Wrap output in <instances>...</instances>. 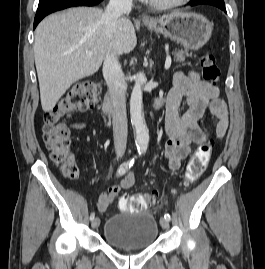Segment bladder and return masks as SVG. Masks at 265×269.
<instances>
[{
	"mask_svg": "<svg viewBox=\"0 0 265 269\" xmlns=\"http://www.w3.org/2000/svg\"><path fill=\"white\" fill-rule=\"evenodd\" d=\"M104 238L111 246L122 250L151 247L158 238V224L150 211L114 214L104 225Z\"/></svg>",
	"mask_w": 265,
	"mask_h": 269,
	"instance_id": "1",
	"label": "bladder"
}]
</instances>
